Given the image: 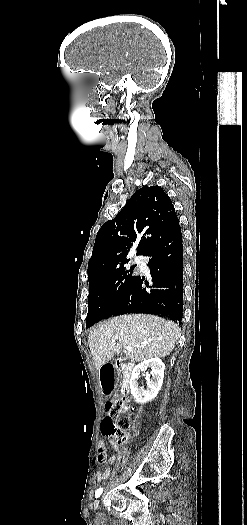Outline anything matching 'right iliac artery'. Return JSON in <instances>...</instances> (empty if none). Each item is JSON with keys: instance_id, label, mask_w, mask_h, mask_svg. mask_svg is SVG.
Wrapping results in <instances>:
<instances>
[{"instance_id": "right-iliac-artery-1", "label": "right iliac artery", "mask_w": 247, "mask_h": 525, "mask_svg": "<svg viewBox=\"0 0 247 525\" xmlns=\"http://www.w3.org/2000/svg\"><path fill=\"white\" fill-rule=\"evenodd\" d=\"M102 491H103V488H99V489L96 490V492H95L96 498H98L101 495Z\"/></svg>"}]
</instances>
